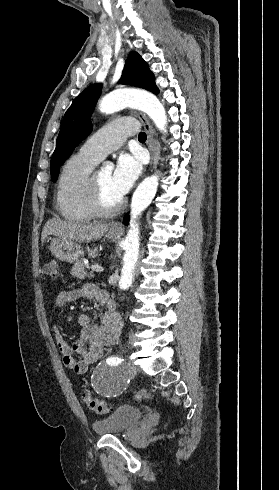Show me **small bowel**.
Listing matches in <instances>:
<instances>
[{
  "label": "small bowel",
  "mask_w": 279,
  "mask_h": 490,
  "mask_svg": "<svg viewBox=\"0 0 279 490\" xmlns=\"http://www.w3.org/2000/svg\"><path fill=\"white\" fill-rule=\"evenodd\" d=\"M80 299L96 301L101 308L100 323H94L90 314L80 313L77 320L82 327L81 336L74 344L65 339L56 324L53 325V333L63 364L70 370L83 374L88 371L90 365L101 358L107 347L118 343L122 319L109 294L92 284L60 292L54 297L52 308L57 312L66 304ZM74 353H79L81 359L76 360Z\"/></svg>",
  "instance_id": "c3829d8e"
}]
</instances>
